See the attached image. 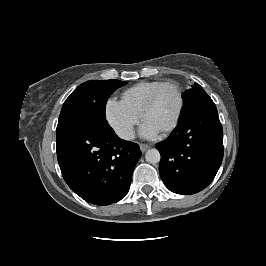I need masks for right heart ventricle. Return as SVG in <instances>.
Listing matches in <instances>:
<instances>
[{
  "instance_id": "e07e8e85",
  "label": "right heart ventricle",
  "mask_w": 266,
  "mask_h": 266,
  "mask_svg": "<svg viewBox=\"0 0 266 266\" xmlns=\"http://www.w3.org/2000/svg\"><path fill=\"white\" fill-rule=\"evenodd\" d=\"M163 81H142L128 89L122 94V100L136 113L140 114L141 110L152 94Z\"/></svg>"
}]
</instances>
